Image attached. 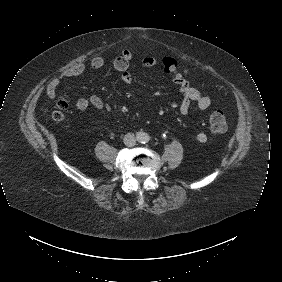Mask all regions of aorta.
<instances>
[{"label":"aorta","instance_id":"762f6f07","mask_svg":"<svg viewBox=\"0 0 282 282\" xmlns=\"http://www.w3.org/2000/svg\"><path fill=\"white\" fill-rule=\"evenodd\" d=\"M150 140V135L147 132H139L137 134V141L141 144L148 143Z\"/></svg>","mask_w":282,"mask_h":282}]
</instances>
